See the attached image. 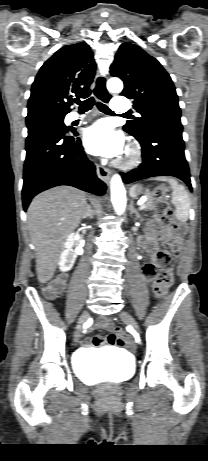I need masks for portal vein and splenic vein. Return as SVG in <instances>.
I'll use <instances>...</instances> for the list:
<instances>
[{
	"mask_svg": "<svg viewBox=\"0 0 208 461\" xmlns=\"http://www.w3.org/2000/svg\"><path fill=\"white\" fill-rule=\"evenodd\" d=\"M146 200H147V197L144 196V197L141 198V200H139V201L137 202V204H138L139 206L142 207V206L145 205Z\"/></svg>",
	"mask_w": 208,
	"mask_h": 461,
	"instance_id": "obj_1",
	"label": "portal vein and splenic vein"
}]
</instances>
